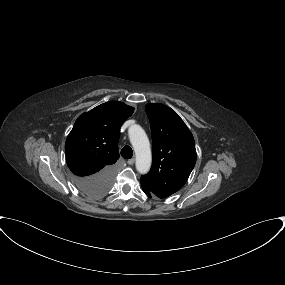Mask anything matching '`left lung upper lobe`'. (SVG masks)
Returning <instances> with one entry per match:
<instances>
[{
	"instance_id": "5c2ea615",
	"label": "left lung upper lobe",
	"mask_w": 285,
	"mask_h": 285,
	"mask_svg": "<svg viewBox=\"0 0 285 285\" xmlns=\"http://www.w3.org/2000/svg\"><path fill=\"white\" fill-rule=\"evenodd\" d=\"M153 142V163L150 172L141 176L154 195L166 198L186 183L196 162L192 133L179 115L166 105L146 106Z\"/></svg>"
}]
</instances>
